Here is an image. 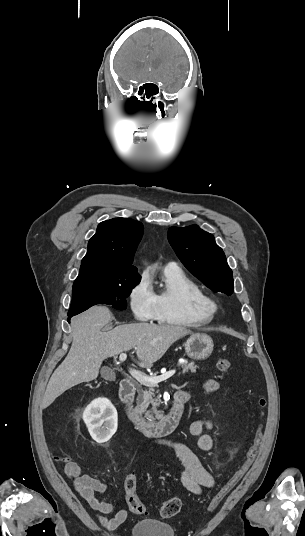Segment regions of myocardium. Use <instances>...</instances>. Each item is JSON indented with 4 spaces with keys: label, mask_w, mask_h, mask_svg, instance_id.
I'll return each mask as SVG.
<instances>
[{
    "label": "myocardium",
    "mask_w": 305,
    "mask_h": 536,
    "mask_svg": "<svg viewBox=\"0 0 305 536\" xmlns=\"http://www.w3.org/2000/svg\"><path fill=\"white\" fill-rule=\"evenodd\" d=\"M195 304L199 313L206 317L210 322L216 318L221 309L219 301L210 295H205L198 299Z\"/></svg>",
    "instance_id": "1"
}]
</instances>
